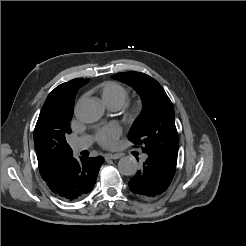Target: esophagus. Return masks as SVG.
Returning <instances> with one entry per match:
<instances>
[{"instance_id": "34e87169", "label": "esophagus", "mask_w": 246, "mask_h": 246, "mask_svg": "<svg viewBox=\"0 0 246 246\" xmlns=\"http://www.w3.org/2000/svg\"><path fill=\"white\" fill-rule=\"evenodd\" d=\"M121 156H122L121 154H111V153H108V154H105L104 155V158H105V160L119 159Z\"/></svg>"}]
</instances>
